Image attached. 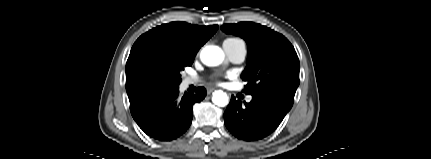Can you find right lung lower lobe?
Here are the masks:
<instances>
[{
	"label": "right lung lower lobe",
	"instance_id": "obj_1",
	"mask_svg": "<svg viewBox=\"0 0 431 159\" xmlns=\"http://www.w3.org/2000/svg\"><path fill=\"white\" fill-rule=\"evenodd\" d=\"M206 96V89L199 87L196 94L179 96V87L162 88L150 92L130 104L133 119L150 137L171 141L184 134L193 119V105Z\"/></svg>",
	"mask_w": 431,
	"mask_h": 159
}]
</instances>
